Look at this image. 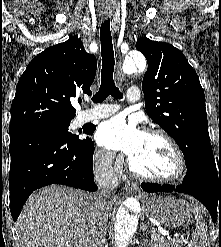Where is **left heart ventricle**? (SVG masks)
Returning a JSON list of instances; mask_svg holds the SVG:
<instances>
[{"label": "left heart ventricle", "mask_w": 221, "mask_h": 247, "mask_svg": "<svg viewBox=\"0 0 221 247\" xmlns=\"http://www.w3.org/2000/svg\"><path fill=\"white\" fill-rule=\"evenodd\" d=\"M130 160L137 171L151 176L168 177L177 171V159L173 149L158 136L144 134Z\"/></svg>", "instance_id": "1"}]
</instances>
